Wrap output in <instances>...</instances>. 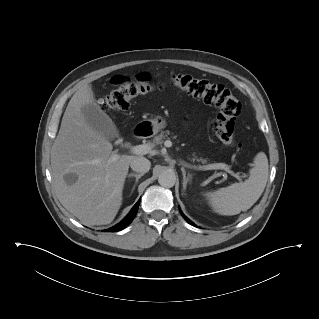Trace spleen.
<instances>
[{"label":"spleen","mask_w":319,"mask_h":319,"mask_svg":"<svg viewBox=\"0 0 319 319\" xmlns=\"http://www.w3.org/2000/svg\"><path fill=\"white\" fill-rule=\"evenodd\" d=\"M250 176L244 182L207 194L212 208L221 215H236L250 209L262 195L268 180V159L259 152L253 161Z\"/></svg>","instance_id":"obj_1"}]
</instances>
